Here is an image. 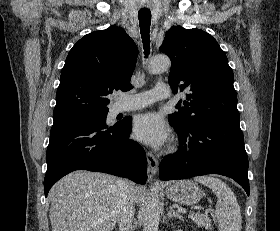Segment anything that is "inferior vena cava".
<instances>
[{
    "label": "inferior vena cava",
    "mask_w": 280,
    "mask_h": 231,
    "mask_svg": "<svg viewBox=\"0 0 280 231\" xmlns=\"http://www.w3.org/2000/svg\"><path fill=\"white\" fill-rule=\"evenodd\" d=\"M134 183L128 179L118 181L120 195L116 199L117 221L120 231H132V221L135 213Z\"/></svg>",
    "instance_id": "inferior-vena-cava-1"
}]
</instances>
